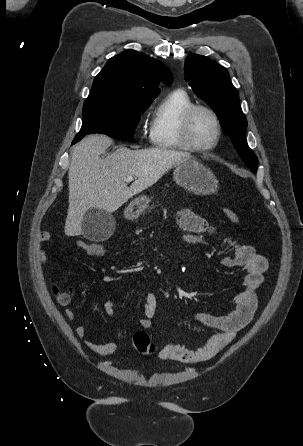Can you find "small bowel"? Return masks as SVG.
Returning <instances> with one entry per match:
<instances>
[{
  "mask_svg": "<svg viewBox=\"0 0 303 446\" xmlns=\"http://www.w3.org/2000/svg\"><path fill=\"white\" fill-rule=\"evenodd\" d=\"M178 224L182 230L181 239L184 243H198L208 238L214 237L233 247V253L222 259V264L229 268L239 267L246 271L243 280L244 289L235 298V308L227 315L215 316L209 313H197L193 318L202 325L213 330V334L205 345L188 349L178 344H166L160 351L159 356L164 360L179 361L182 363H199L207 361L224 349L252 319L257 307V290L263 283L264 273L268 269L267 259L258 254L250 245H244L235 242L231 238L221 234L219 230L212 227L202 217L196 215L190 210L184 209L178 213ZM51 240L49 232H42L39 235V242L46 243ZM77 246L87 250L89 244L83 240H75ZM40 261L45 264L47 256L45 251L39 252ZM51 292L62 307L71 305L74 297V285L70 284L66 289H61L57 283L51 284ZM157 298L153 292L146 294V303L143 317L139 320L142 328H149L156 312ZM105 314L112 318L115 315L113 300H107L104 305ZM65 316L69 321L75 319L76 314L73 310L67 309ZM75 334L78 338H84L87 334V328L79 325L75 328ZM87 350L100 354L108 355L113 353L118 345L114 342L95 343L89 340L84 341Z\"/></svg>",
  "mask_w": 303,
  "mask_h": 446,
  "instance_id": "1",
  "label": "small bowel"
}]
</instances>
